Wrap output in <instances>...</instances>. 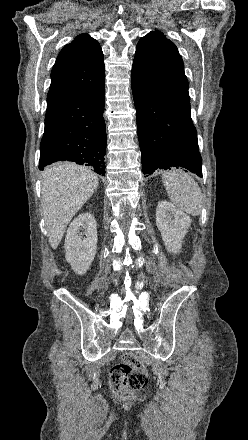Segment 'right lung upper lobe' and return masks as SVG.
<instances>
[{
  "label": "right lung upper lobe",
  "mask_w": 248,
  "mask_h": 440,
  "mask_svg": "<svg viewBox=\"0 0 248 440\" xmlns=\"http://www.w3.org/2000/svg\"><path fill=\"white\" fill-rule=\"evenodd\" d=\"M105 81L103 53L87 34L77 36L59 53L51 71L47 102L93 90Z\"/></svg>",
  "instance_id": "cb5924a9"
}]
</instances>
